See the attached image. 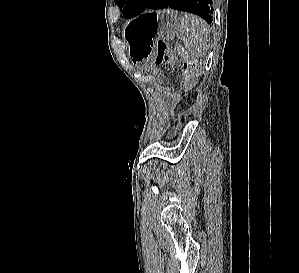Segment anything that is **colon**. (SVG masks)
Segmentation results:
<instances>
[{"label": "colon", "mask_w": 299, "mask_h": 273, "mask_svg": "<svg viewBox=\"0 0 299 273\" xmlns=\"http://www.w3.org/2000/svg\"><path fill=\"white\" fill-rule=\"evenodd\" d=\"M177 51L175 47L163 40H159L156 46V57L155 60L158 64H169L175 65L177 63ZM186 71V78L189 80L195 75V65L193 62L188 61L184 63Z\"/></svg>", "instance_id": "colon-1"}]
</instances>
